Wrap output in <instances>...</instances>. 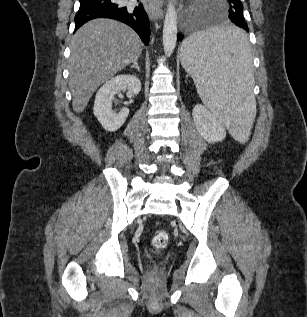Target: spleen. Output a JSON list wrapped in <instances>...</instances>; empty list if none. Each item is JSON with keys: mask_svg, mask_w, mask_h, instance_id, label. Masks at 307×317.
<instances>
[{"mask_svg": "<svg viewBox=\"0 0 307 317\" xmlns=\"http://www.w3.org/2000/svg\"><path fill=\"white\" fill-rule=\"evenodd\" d=\"M180 59L206 107L234 139L245 140L256 110L246 29L203 26L185 39Z\"/></svg>", "mask_w": 307, "mask_h": 317, "instance_id": "3e777b00", "label": "spleen"}]
</instances>
